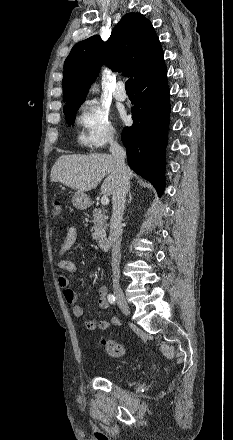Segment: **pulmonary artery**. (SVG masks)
Instances as JSON below:
<instances>
[{
	"label": "pulmonary artery",
	"mask_w": 233,
	"mask_h": 440,
	"mask_svg": "<svg viewBox=\"0 0 233 440\" xmlns=\"http://www.w3.org/2000/svg\"><path fill=\"white\" fill-rule=\"evenodd\" d=\"M123 88H124L123 83L118 82L113 91V95L118 101H125L127 99V94Z\"/></svg>",
	"instance_id": "e3ab8cb5"
}]
</instances>
